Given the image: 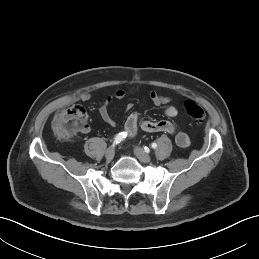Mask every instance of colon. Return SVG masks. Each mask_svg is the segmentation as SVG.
Segmentation results:
<instances>
[{"instance_id":"colon-1","label":"colon","mask_w":259,"mask_h":259,"mask_svg":"<svg viewBox=\"0 0 259 259\" xmlns=\"http://www.w3.org/2000/svg\"><path fill=\"white\" fill-rule=\"evenodd\" d=\"M184 109L194 122L201 123L204 120V110L194 101L186 100ZM86 125V110L78 104L66 106L55 116L53 121V129L62 140L69 139L75 132L82 130Z\"/></svg>"}]
</instances>
